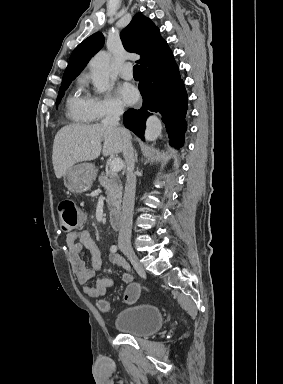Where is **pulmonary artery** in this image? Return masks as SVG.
I'll use <instances>...</instances> for the list:
<instances>
[{
    "label": "pulmonary artery",
    "instance_id": "1",
    "mask_svg": "<svg viewBox=\"0 0 283 384\" xmlns=\"http://www.w3.org/2000/svg\"><path fill=\"white\" fill-rule=\"evenodd\" d=\"M120 76L123 79L131 80L133 78L132 64L126 63L120 70Z\"/></svg>",
    "mask_w": 283,
    "mask_h": 384
}]
</instances>
